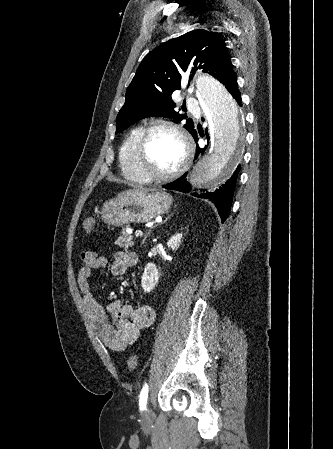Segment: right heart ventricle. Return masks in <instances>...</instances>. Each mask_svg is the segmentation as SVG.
<instances>
[{"instance_id":"obj_1","label":"right heart ventricle","mask_w":333,"mask_h":449,"mask_svg":"<svg viewBox=\"0 0 333 449\" xmlns=\"http://www.w3.org/2000/svg\"><path fill=\"white\" fill-rule=\"evenodd\" d=\"M142 129L143 127L138 125L129 130L119 148V163L125 178L140 183H146L148 181L139 174L136 168L134 157L135 144Z\"/></svg>"}]
</instances>
